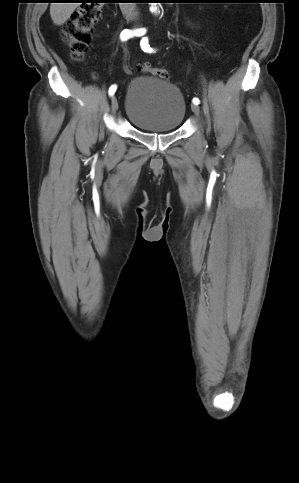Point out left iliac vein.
Listing matches in <instances>:
<instances>
[{"instance_id":"left-iliac-vein-1","label":"left iliac vein","mask_w":299,"mask_h":483,"mask_svg":"<svg viewBox=\"0 0 299 483\" xmlns=\"http://www.w3.org/2000/svg\"><path fill=\"white\" fill-rule=\"evenodd\" d=\"M191 110L195 113V114H198L199 113V107L198 105L196 104H192L191 105Z\"/></svg>"}]
</instances>
